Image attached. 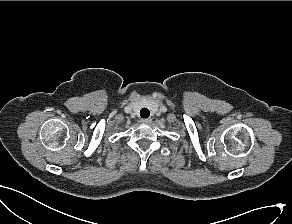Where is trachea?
<instances>
[{"label":"trachea","instance_id":"trachea-1","mask_svg":"<svg viewBox=\"0 0 292 224\" xmlns=\"http://www.w3.org/2000/svg\"><path fill=\"white\" fill-rule=\"evenodd\" d=\"M149 115H150V111H149V109H147V108H142V109L140 110V116H141L142 118H148Z\"/></svg>","mask_w":292,"mask_h":224}]
</instances>
